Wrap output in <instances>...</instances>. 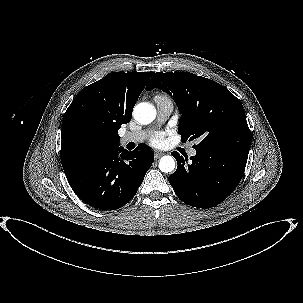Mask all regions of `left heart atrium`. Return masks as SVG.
<instances>
[{"label": "left heart atrium", "instance_id": "obj_1", "mask_svg": "<svg viewBox=\"0 0 303 303\" xmlns=\"http://www.w3.org/2000/svg\"><path fill=\"white\" fill-rule=\"evenodd\" d=\"M164 132H154L150 137V142L154 146H160L163 144L164 141Z\"/></svg>", "mask_w": 303, "mask_h": 303}]
</instances>
